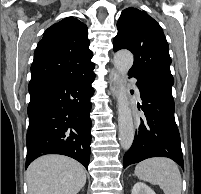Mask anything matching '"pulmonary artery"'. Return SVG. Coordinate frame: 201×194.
<instances>
[{
    "instance_id": "pulmonary-artery-1",
    "label": "pulmonary artery",
    "mask_w": 201,
    "mask_h": 194,
    "mask_svg": "<svg viewBox=\"0 0 201 194\" xmlns=\"http://www.w3.org/2000/svg\"><path fill=\"white\" fill-rule=\"evenodd\" d=\"M130 82L132 83V85H133L135 91H136L137 93H139V88H138V86L136 85L135 79H130Z\"/></svg>"
}]
</instances>
